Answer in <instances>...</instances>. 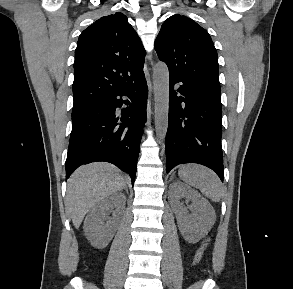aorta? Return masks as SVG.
Listing matches in <instances>:
<instances>
[{
	"label": "aorta",
	"instance_id": "obj_1",
	"mask_svg": "<svg viewBox=\"0 0 293 289\" xmlns=\"http://www.w3.org/2000/svg\"><path fill=\"white\" fill-rule=\"evenodd\" d=\"M155 100V130L157 137L163 140L168 128L169 110V71L165 63H157L153 70Z\"/></svg>",
	"mask_w": 293,
	"mask_h": 289
}]
</instances>
